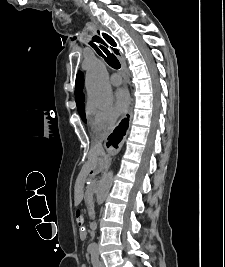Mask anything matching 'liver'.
Returning a JSON list of instances; mask_svg holds the SVG:
<instances>
[{
  "instance_id": "6515ba94",
  "label": "liver",
  "mask_w": 225,
  "mask_h": 267,
  "mask_svg": "<svg viewBox=\"0 0 225 267\" xmlns=\"http://www.w3.org/2000/svg\"><path fill=\"white\" fill-rule=\"evenodd\" d=\"M101 157V158H99ZM106 158V154L101 145H94L88 155V161L83 166L79 180H83L89 173L90 170L95 169L97 167H101L103 164V159ZM83 198V182H78L75 188V206H78Z\"/></svg>"
}]
</instances>
